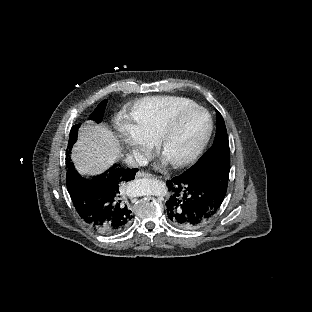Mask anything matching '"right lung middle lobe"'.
Masks as SVG:
<instances>
[{"label": "right lung middle lobe", "instance_id": "1", "mask_svg": "<svg viewBox=\"0 0 312 312\" xmlns=\"http://www.w3.org/2000/svg\"><path fill=\"white\" fill-rule=\"evenodd\" d=\"M106 104H107V100H103L97 106V108L93 111V113L90 115L89 119L94 120L97 123H100L102 121V118L104 115ZM79 127H80V124L74 125L71 128L70 135H69V143H68V147H67V151H66V155H67L66 161L70 160L69 155L71 153V149H72L73 144L76 142Z\"/></svg>", "mask_w": 312, "mask_h": 312}]
</instances>
